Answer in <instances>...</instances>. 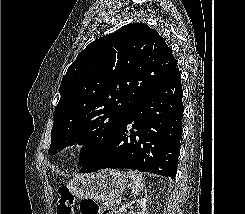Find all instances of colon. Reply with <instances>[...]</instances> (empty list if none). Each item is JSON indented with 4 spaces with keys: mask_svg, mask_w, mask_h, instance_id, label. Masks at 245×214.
<instances>
[{
    "mask_svg": "<svg viewBox=\"0 0 245 214\" xmlns=\"http://www.w3.org/2000/svg\"><path fill=\"white\" fill-rule=\"evenodd\" d=\"M74 196L67 187L58 190L57 214H73ZM81 214H113L110 206H102L93 199H83L80 203Z\"/></svg>",
    "mask_w": 245,
    "mask_h": 214,
    "instance_id": "colon-1",
    "label": "colon"
}]
</instances>
